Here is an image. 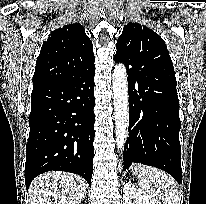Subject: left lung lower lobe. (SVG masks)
<instances>
[{
  "mask_svg": "<svg viewBox=\"0 0 206 204\" xmlns=\"http://www.w3.org/2000/svg\"><path fill=\"white\" fill-rule=\"evenodd\" d=\"M115 62H120L115 58ZM127 67L129 137L124 170L132 163L160 168L182 183L179 100L175 76L162 67Z\"/></svg>",
  "mask_w": 206,
  "mask_h": 204,
  "instance_id": "0a47b994",
  "label": "left lung lower lobe"
}]
</instances>
